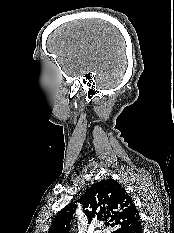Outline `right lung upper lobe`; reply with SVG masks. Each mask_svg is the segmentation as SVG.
<instances>
[{"instance_id": "right-lung-upper-lobe-1", "label": "right lung upper lobe", "mask_w": 174, "mask_h": 233, "mask_svg": "<svg viewBox=\"0 0 174 233\" xmlns=\"http://www.w3.org/2000/svg\"><path fill=\"white\" fill-rule=\"evenodd\" d=\"M76 202L69 203L57 214L48 233H69ZM78 202L83 205L89 223L109 220L115 227L113 233H131L141 225L132 199L121 184L113 179L94 183Z\"/></svg>"}]
</instances>
